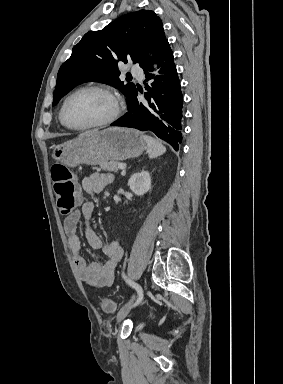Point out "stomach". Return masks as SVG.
I'll return each mask as SVG.
<instances>
[{
  "instance_id": "stomach-1",
  "label": "stomach",
  "mask_w": 283,
  "mask_h": 384,
  "mask_svg": "<svg viewBox=\"0 0 283 384\" xmlns=\"http://www.w3.org/2000/svg\"><path fill=\"white\" fill-rule=\"evenodd\" d=\"M146 148L147 144L137 130L107 128L55 146L52 156L69 168H76L79 164L100 166L109 160L121 162L127 158H138Z\"/></svg>"
}]
</instances>
